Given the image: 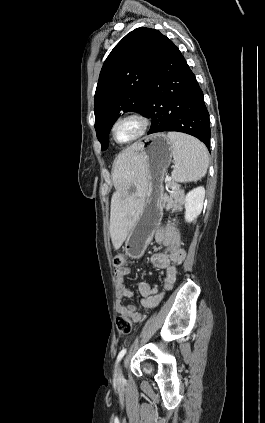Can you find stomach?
Wrapping results in <instances>:
<instances>
[{
	"label": "stomach",
	"mask_w": 265,
	"mask_h": 423,
	"mask_svg": "<svg viewBox=\"0 0 265 423\" xmlns=\"http://www.w3.org/2000/svg\"><path fill=\"white\" fill-rule=\"evenodd\" d=\"M147 174V192L142 209L125 242V252L131 258L143 256L163 216V179L173 156L172 143L164 133L146 137L139 143Z\"/></svg>",
	"instance_id": "obj_1"
}]
</instances>
